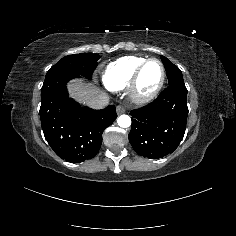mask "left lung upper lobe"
I'll return each mask as SVG.
<instances>
[{
  "mask_svg": "<svg viewBox=\"0 0 236 236\" xmlns=\"http://www.w3.org/2000/svg\"><path fill=\"white\" fill-rule=\"evenodd\" d=\"M161 60L166 69L168 85L184 83L182 72L179 70V68L164 56H161Z\"/></svg>",
  "mask_w": 236,
  "mask_h": 236,
  "instance_id": "left-lung-upper-lobe-1",
  "label": "left lung upper lobe"
}]
</instances>
